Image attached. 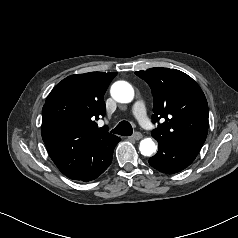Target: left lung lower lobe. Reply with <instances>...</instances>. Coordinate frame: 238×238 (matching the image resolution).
Segmentation results:
<instances>
[{
	"label": "left lung lower lobe",
	"mask_w": 238,
	"mask_h": 238,
	"mask_svg": "<svg viewBox=\"0 0 238 238\" xmlns=\"http://www.w3.org/2000/svg\"><path fill=\"white\" fill-rule=\"evenodd\" d=\"M158 144L159 150L149 159V164L166 174L177 173L188 167L200 151L169 141H161Z\"/></svg>",
	"instance_id": "0a47b994"
}]
</instances>
